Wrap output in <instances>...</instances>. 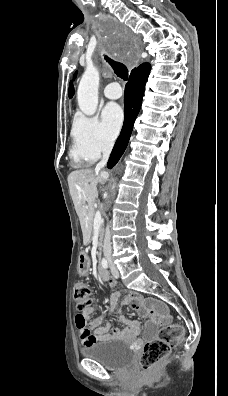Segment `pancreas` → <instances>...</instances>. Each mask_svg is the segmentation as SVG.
<instances>
[{
  "label": "pancreas",
  "mask_w": 228,
  "mask_h": 396,
  "mask_svg": "<svg viewBox=\"0 0 228 396\" xmlns=\"http://www.w3.org/2000/svg\"><path fill=\"white\" fill-rule=\"evenodd\" d=\"M93 216H94V214H93ZM93 216L90 220V232H92V227H93ZM93 232H96V229H93ZM103 234H104V229H103V226L100 225V227H99V250L101 249V246H102ZM90 240L92 241L93 239L91 238ZM90 240L88 241L89 243L91 242Z\"/></svg>",
  "instance_id": "cf45deb5"
}]
</instances>
